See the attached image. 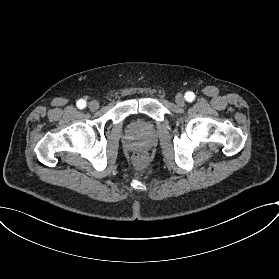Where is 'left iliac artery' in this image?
I'll use <instances>...</instances> for the list:
<instances>
[{
  "label": "left iliac artery",
  "instance_id": "44dca946",
  "mask_svg": "<svg viewBox=\"0 0 279 279\" xmlns=\"http://www.w3.org/2000/svg\"><path fill=\"white\" fill-rule=\"evenodd\" d=\"M195 98V95L193 92H186L185 94V99L188 101V102H192Z\"/></svg>",
  "mask_w": 279,
  "mask_h": 279
}]
</instances>
